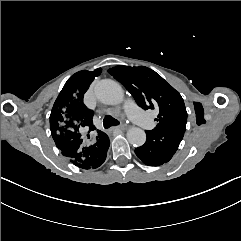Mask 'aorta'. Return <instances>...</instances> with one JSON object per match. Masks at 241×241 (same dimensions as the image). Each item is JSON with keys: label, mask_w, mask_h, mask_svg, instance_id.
<instances>
[{"label": "aorta", "mask_w": 241, "mask_h": 241, "mask_svg": "<svg viewBox=\"0 0 241 241\" xmlns=\"http://www.w3.org/2000/svg\"><path fill=\"white\" fill-rule=\"evenodd\" d=\"M97 99L108 105H116L123 101L124 91L114 80L104 79L99 81L94 88ZM128 141L133 146H142L146 141V133L138 127H132L127 131Z\"/></svg>", "instance_id": "762f6f07"}]
</instances>
